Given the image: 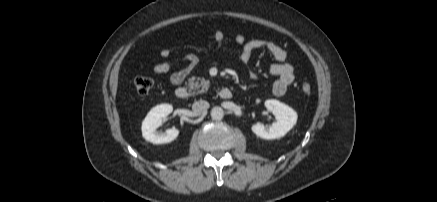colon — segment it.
Listing matches in <instances>:
<instances>
[{
    "label": "colon",
    "mask_w": 437,
    "mask_h": 202,
    "mask_svg": "<svg viewBox=\"0 0 437 202\" xmlns=\"http://www.w3.org/2000/svg\"><path fill=\"white\" fill-rule=\"evenodd\" d=\"M136 91L141 95H146L150 92L154 85V81L150 77L138 76L134 80ZM300 90L304 95H310L312 88L308 82H304L300 86Z\"/></svg>",
    "instance_id": "obj_1"
}]
</instances>
